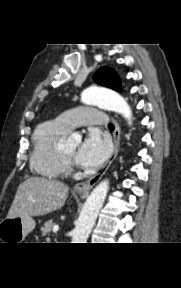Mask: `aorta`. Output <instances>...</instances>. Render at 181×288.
Wrapping results in <instances>:
<instances>
[{
  "label": "aorta",
  "mask_w": 181,
  "mask_h": 288,
  "mask_svg": "<svg viewBox=\"0 0 181 288\" xmlns=\"http://www.w3.org/2000/svg\"><path fill=\"white\" fill-rule=\"evenodd\" d=\"M81 101L88 105H98L107 110L121 114L131 124L132 112L126 100L119 94L102 88L91 87L83 91ZM69 141L74 143L75 136ZM109 188V181L100 182L91 192L83 205L76 227L73 231L72 243H86L103 206Z\"/></svg>",
  "instance_id": "762f6f07"
}]
</instances>
